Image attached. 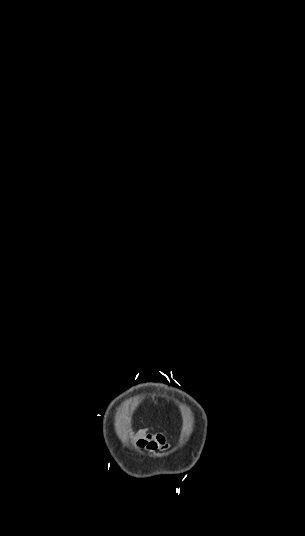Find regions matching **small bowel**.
I'll return each instance as SVG.
<instances>
[{"mask_svg":"<svg viewBox=\"0 0 305 536\" xmlns=\"http://www.w3.org/2000/svg\"><path fill=\"white\" fill-rule=\"evenodd\" d=\"M130 437L135 441L138 448L149 452L169 448L166 436L156 432L155 427H138L130 432Z\"/></svg>","mask_w":305,"mask_h":536,"instance_id":"obj_1","label":"small bowel"}]
</instances>
